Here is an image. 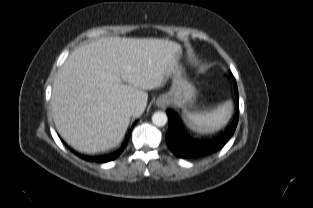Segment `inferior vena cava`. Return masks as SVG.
<instances>
[{"label": "inferior vena cava", "instance_id": "obj_1", "mask_svg": "<svg viewBox=\"0 0 313 208\" xmlns=\"http://www.w3.org/2000/svg\"><path fill=\"white\" fill-rule=\"evenodd\" d=\"M136 106L137 102L135 100H128L120 107V111L125 115L131 116L134 113Z\"/></svg>", "mask_w": 313, "mask_h": 208}]
</instances>
